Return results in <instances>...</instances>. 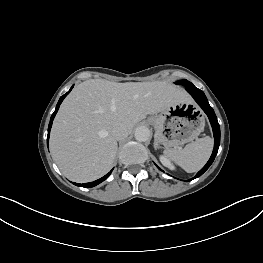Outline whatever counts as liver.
<instances>
[{"label": "liver", "instance_id": "liver-1", "mask_svg": "<svg viewBox=\"0 0 263 263\" xmlns=\"http://www.w3.org/2000/svg\"><path fill=\"white\" fill-rule=\"evenodd\" d=\"M186 92L166 82L117 83L102 79L77 85L53 122L50 149L68 179L85 183L105 175L117 152L112 129L123 124L131 133L148 114L187 101Z\"/></svg>", "mask_w": 263, "mask_h": 263}]
</instances>
